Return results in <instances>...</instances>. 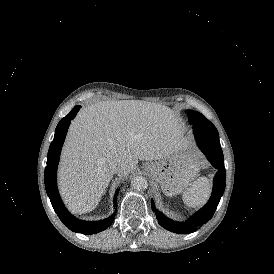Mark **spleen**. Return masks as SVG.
I'll list each match as a JSON object with an SVG mask.
<instances>
[{"label": "spleen", "instance_id": "1", "mask_svg": "<svg viewBox=\"0 0 274 274\" xmlns=\"http://www.w3.org/2000/svg\"><path fill=\"white\" fill-rule=\"evenodd\" d=\"M211 188L207 177H199L183 192V202L189 207H200L207 202Z\"/></svg>", "mask_w": 274, "mask_h": 274}]
</instances>
